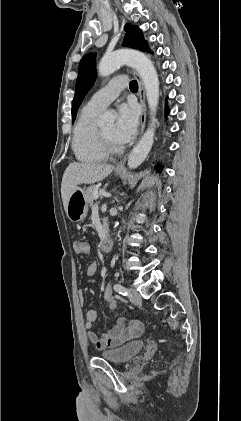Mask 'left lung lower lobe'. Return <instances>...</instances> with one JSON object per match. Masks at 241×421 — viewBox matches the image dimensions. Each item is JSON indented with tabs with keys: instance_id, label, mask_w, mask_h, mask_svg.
I'll list each match as a JSON object with an SVG mask.
<instances>
[{
	"instance_id": "left-lung-lower-lobe-1",
	"label": "left lung lower lobe",
	"mask_w": 241,
	"mask_h": 421,
	"mask_svg": "<svg viewBox=\"0 0 241 421\" xmlns=\"http://www.w3.org/2000/svg\"><path fill=\"white\" fill-rule=\"evenodd\" d=\"M142 51H148V48H147V45L143 48V50ZM168 112H169V110L168 109H166V113L168 114Z\"/></svg>"
}]
</instances>
